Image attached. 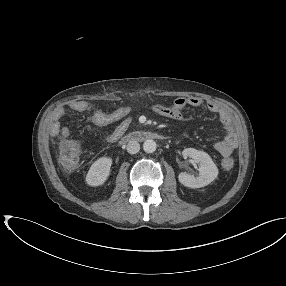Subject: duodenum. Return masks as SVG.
<instances>
[{"label": "duodenum", "instance_id": "obj_1", "mask_svg": "<svg viewBox=\"0 0 286 286\" xmlns=\"http://www.w3.org/2000/svg\"><path fill=\"white\" fill-rule=\"evenodd\" d=\"M164 136L150 132V131H136L132 132L121 139L122 144H126L129 142H139V141H147L151 139H163Z\"/></svg>", "mask_w": 286, "mask_h": 286}]
</instances>
